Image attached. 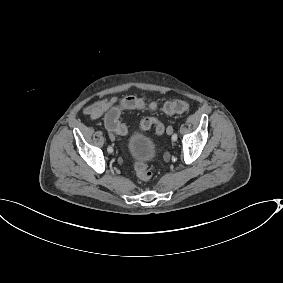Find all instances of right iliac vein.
Wrapping results in <instances>:
<instances>
[{
    "instance_id": "right-iliac-vein-1",
    "label": "right iliac vein",
    "mask_w": 283,
    "mask_h": 283,
    "mask_svg": "<svg viewBox=\"0 0 283 283\" xmlns=\"http://www.w3.org/2000/svg\"><path fill=\"white\" fill-rule=\"evenodd\" d=\"M111 139H112V140H115V137L112 135V136H111Z\"/></svg>"
}]
</instances>
